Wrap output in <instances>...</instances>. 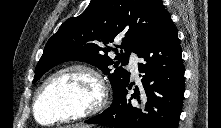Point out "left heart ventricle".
Returning <instances> with one entry per match:
<instances>
[{
  "instance_id": "1",
  "label": "left heart ventricle",
  "mask_w": 221,
  "mask_h": 128,
  "mask_svg": "<svg viewBox=\"0 0 221 128\" xmlns=\"http://www.w3.org/2000/svg\"><path fill=\"white\" fill-rule=\"evenodd\" d=\"M93 81L79 72H67L53 79L37 105V118L48 123L68 113L81 111L92 100Z\"/></svg>"
}]
</instances>
